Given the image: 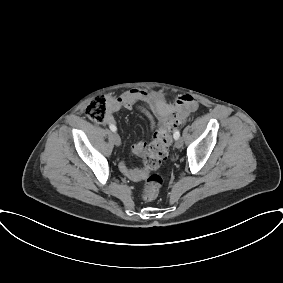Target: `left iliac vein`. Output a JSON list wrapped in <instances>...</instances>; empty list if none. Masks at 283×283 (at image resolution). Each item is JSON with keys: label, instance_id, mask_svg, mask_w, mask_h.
I'll return each mask as SVG.
<instances>
[{"label": "left iliac vein", "instance_id": "1", "mask_svg": "<svg viewBox=\"0 0 283 283\" xmlns=\"http://www.w3.org/2000/svg\"><path fill=\"white\" fill-rule=\"evenodd\" d=\"M183 146V141L181 138L176 139L175 141V147L180 149Z\"/></svg>", "mask_w": 283, "mask_h": 283}]
</instances>
